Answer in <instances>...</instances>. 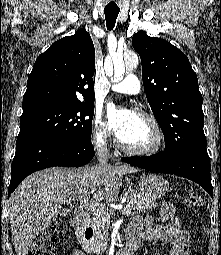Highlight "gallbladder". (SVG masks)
<instances>
[{"mask_svg":"<svg viewBox=\"0 0 221 255\" xmlns=\"http://www.w3.org/2000/svg\"><path fill=\"white\" fill-rule=\"evenodd\" d=\"M69 212L65 209L59 211V215H67Z\"/></svg>","mask_w":221,"mask_h":255,"instance_id":"obj_1","label":"gallbladder"}]
</instances>
